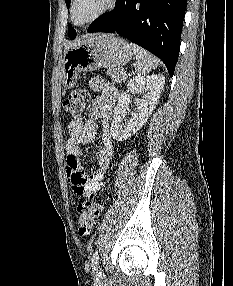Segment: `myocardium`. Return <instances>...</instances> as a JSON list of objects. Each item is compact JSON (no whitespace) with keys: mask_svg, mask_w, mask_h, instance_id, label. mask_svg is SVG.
Segmentation results:
<instances>
[{"mask_svg":"<svg viewBox=\"0 0 233 286\" xmlns=\"http://www.w3.org/2000/svg\"><path fill=\"white\" fill-rule=\"evenodd\" d=\"M117 2H118V0H108L107 5L98 14H96L94 17H92L91 19H89L88 21H86L84 23H77L75 21V18H74V9H75V5L77 3V0H72L71 7H70V19H71V22L75 26H78V27L87 26V25L95 22L96 20H98L99 18H101L102 16L107 14L108 12H110L112 9H114L115 6L117 5Z\"/></svg>","mask_w":233,"mask_h":286,"instance_id":"f54148a6","label":"myocardium"}]
</instances>
